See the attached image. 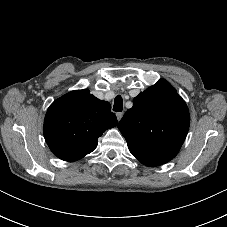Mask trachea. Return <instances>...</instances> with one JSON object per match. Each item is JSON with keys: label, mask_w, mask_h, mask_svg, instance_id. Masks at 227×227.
<instances>
[{"label": "trachea", "mask_w": 227, "mask_h": 227, "mask_svg": "<svg viewBox=\"0 0 227 227\" xmlns=\"http://www.w3.org/2000/svg\"><path fill=\"white\" fill-rule=\"evenodd\" d=\"M123 109V100L120 95H117L114 100L113 111L121 112Z\"/></svg>", "instance_id": "obj_1"}]
</instances>
